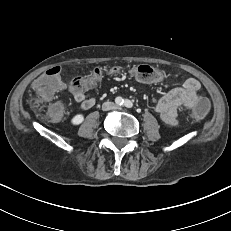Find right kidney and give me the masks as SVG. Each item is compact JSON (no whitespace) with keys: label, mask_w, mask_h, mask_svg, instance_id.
I'll use <instances>...</instances> for the list:
<instances>
[{"label":"right kidney","mask_w":231,"mask_h":231,"mask_svg":"<svg viewBox=\"0 0 231 231\" xmlns=\"http://www.w3.org/2000/svg\"><path fill=\"white\" fill-rule=\"evenodd\" d=\"M84 121V116L82 114H77L75 115L72 120H71V123L73 125H79L81 124L82 122Z\"/></svg>","instance_id":"right-kidney-1"}]
</instances>
